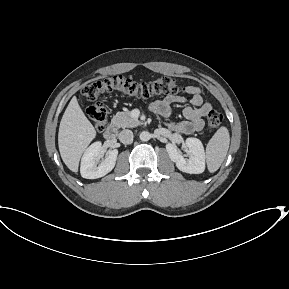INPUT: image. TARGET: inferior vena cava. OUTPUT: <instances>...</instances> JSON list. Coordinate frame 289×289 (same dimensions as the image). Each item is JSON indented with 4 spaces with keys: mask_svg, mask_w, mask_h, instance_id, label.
I'll list each match as a JSON object with an SVG mask.
<instances>
[{
    "mask_svg": "<svg viewBox=\"0 0 289 289\" xmlns=\"http://www.w3.org/2000/svg\"><path fill=\"white\" fill-rule=\"evenodd\" d=\"M119 140L123 143V144H129L133 141V132L131 130H122L119 133Z\"/></svg>",
    "mask_w": 289,
    "mask_h": 289,
    "instance_id": "inferior-vena-cava-1",
    "label": "inferior vena cava"
}]
</instances>
